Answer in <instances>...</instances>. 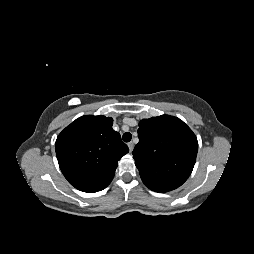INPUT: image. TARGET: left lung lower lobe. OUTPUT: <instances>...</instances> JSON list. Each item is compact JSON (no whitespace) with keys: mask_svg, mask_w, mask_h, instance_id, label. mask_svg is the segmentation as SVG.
<instances>
[{"mask_svg":"<svg viewBox=\"0 0 254 254\" xmlns=\"http://www.w3.org/2000/svg\"><path fill=\"white\" fill-rule=\"evenodd\" d=\"M143 183L151 190L155 192H168L173 189H176L177 187L172 186V185H167V184H162V183H157V182H152V181H143Z\"/></svg>","mask_w":254,"mask_h":254,"instance_id":"0a47b994","label":"left lung lower lobe"}]
</instances>
